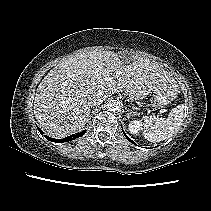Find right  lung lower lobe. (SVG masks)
<instances>
[{
    "mask_svg": "<svg viewBox=\"0 0 211 211\" xmlns=\"http://www.w3.org/2000/svg\"><path fill=\"white\" fill-rule=\"evenodd\" d=\"M38 130H39L40 133H42V131L39 128H38ZM85 132L86 131L84 130V131H82L80 133H75V134H73L71 136H68V137H66L64 139H53V138H50L48 136H45V137L49 141L56 142V143H62V142H68V141L74 140L76 138H79V137L83 136L85 134Z\"/></svg>",
    "mask_w": 211,
    "mask_h": 211,
    "instance_id": "98d812e1",
    "label": "right lung lower lobe"
}]
</instances>
